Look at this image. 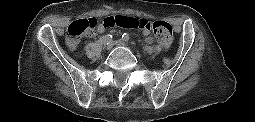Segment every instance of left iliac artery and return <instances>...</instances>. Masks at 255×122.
I'll list each match as a JSON object with an SVG mask.
<instances>
[{
    "instance_id": "1",
    "label": "left iliac artery",
    "mask_w": 255,
    "mask_h": 122,
    "mask_svg": "<svg viewBox=\"0 0 255 122\" xmlns=\"http://www.w3.org/2000/svg\"><path fill=\"white\" fill-rule=\"evenodd\" d=\"M122 39H123V41L128 42V41L130 40L129 34L124 33V34L122 35Z\"/></svg>"
}]
</instances>
